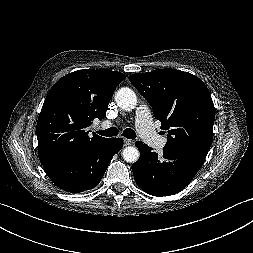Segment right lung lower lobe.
I'll return each instance as SVG.
<instances>
[{
    "instance_id": "98d812e1",
    "label": "right lung lower lobe",
    "mask_w": 253,
    "mask_h": 253,
    "mask_svg": "<svg viewBox=\"0 0 253 253\" xmlns=\"http://www.w3.org/2000/svg\"><path fill=\"white\" fill-rule=\"evenodd\" d=\"M123 146L121 138L105 141L84 150L70 151L42 162L51 181L66 192H83L98 185L112 157Z\"/></svg>"
}]
</instances>
